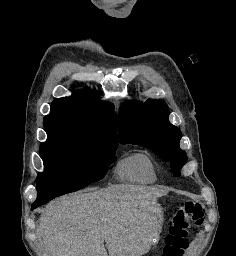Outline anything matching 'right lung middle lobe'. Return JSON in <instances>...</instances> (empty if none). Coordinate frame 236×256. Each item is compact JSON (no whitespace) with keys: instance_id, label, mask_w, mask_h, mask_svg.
Masks as SVG:
<instances>
[{"instance_id":"obj_1","label":"right lung middle lobe","mask_w":236,"mask_h":256,"mask_svg":"<svg viewBox=\"0 0 236 256\" xmlns=\"http://www.w3.org/2000/svg\"><path fill=\"white\" fill-rule=\"evenodd\" d=\"M46 132L48 139L40 146L45 170L37 176L35 202L77 191L89 181L96 182L105 176L114 158L117 141L67 130Z\"/></svg>"}]
</instances>
